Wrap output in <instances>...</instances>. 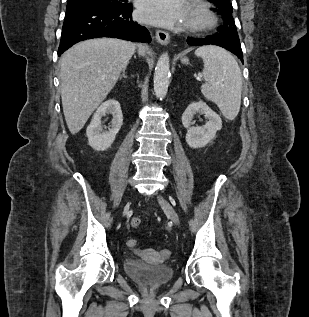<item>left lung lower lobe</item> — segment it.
<instances>
[{
  "mask_svg": "<svg viewBox=\"0 0 309 317\" xmlns=\"http://www.w3.org/2000/svg\"><path fill=\"white\" fill-rule=\"evenodd\" d=\"M188 45L201 46V45H217L223 47L233 54H235L243 63V53L241 44L238 37L226 33H217L209 38H187Z\"/></svg>",
  "mask_w": 309,
  "mask_h": 317,
  "instance_id": "obj_1",
  "label": "left lung lower lobe"
}]
</instances>
